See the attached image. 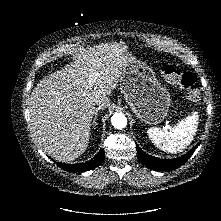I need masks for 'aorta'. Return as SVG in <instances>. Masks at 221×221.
<instances>
[{"label":"aorta","instance_id":"762f6f07","mask_svg":"<svg viewBox=\"0 0 221 221\" xmlns=\"http://www.w3.org/2000/svg\"><path fill=\"white\" fill-rule=\"evenodd\" d=\"M111 123L116 129H123L127 125V118L123 113L118 112L113 114Z\"/></svg>","mask_w":221,"mask_h":221}]
</instances>
